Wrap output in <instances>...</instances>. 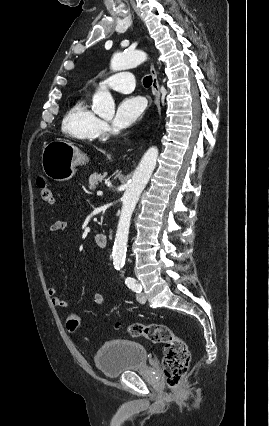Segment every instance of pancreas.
<instances>
[{
  "mask_svg": "<svg viewBox=\"0 0 269 426\" xmlns=\"http://www.w3.org/2000/svg\"><path fill=\"white\" fill-rule=\"evenodd\" d=\"M104 178V175L99 173H94L89 177V189L94 190L96 185H98Z\"/></svg>",
  "mask_w": 269,
  "mask_h": 426,
  "instance_id": "pancreas-1",
  "label": "pancreas"
}]
</instances>
